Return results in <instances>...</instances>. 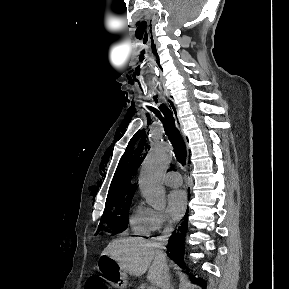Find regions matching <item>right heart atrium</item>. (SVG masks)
Segmentation results:
<instances>
[{
  "label": "right heart atrium",
  "mask_w": 289,
  "mask_h": 289,
  "mask_svg": "<svg viewBox=\"0 0 289 289\" xmlns=\"http://www.w3.org/2000/svg\"><path fill=\"white\" fill-rule=\"evenodd\" d=\"M171 222L167 214L162 210H153L152 215V231L161 232L168 229Z\"/></svg>",
  "instance_id": "d8ad5b80"
}]
</instances>
